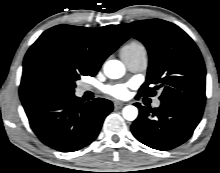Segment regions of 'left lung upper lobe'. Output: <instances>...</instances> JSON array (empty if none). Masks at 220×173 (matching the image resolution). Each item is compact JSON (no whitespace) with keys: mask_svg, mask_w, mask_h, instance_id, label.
<instances>
[{"mask_svg":"<svg viewBox=\"0 0 220 173\" xmlns=\"http://www.w3.org/2000/svg\"><path fill=\"white\" fill-rule=\"evenodd\" d=\"M120 26L141 41L149 53L147 78L138 97L153 96L160 89L161 101L174 100L204 107V62L194 41L181 28L160 19Z\"/></svg>","mask_w":220,"mask_h":173,"instance_id":"5c2ea615","label":"left lung upper lobe"}]
</instances>
